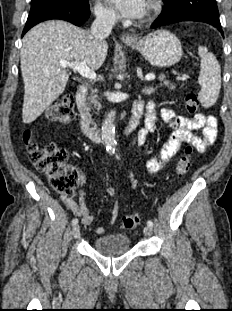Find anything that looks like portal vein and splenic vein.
<instances>
[{
    "label": "portal vein and splenic vein",
    "mask_w": 232,
    "mask_h": 311,
    "mask_svg": "<svg viewBox=\"0 0 232 311\" xmlns=\"http://www.w3.org/2000/svg\"><path fill=\"white\" fill-rule=\"evenodd\" d=\"M60 67L62 68H71L75 71H77L81 76L87 78V79H96V73L91 70L85 62H68V61H60ZM145 79L147 81H151L155 79L154 74H147L145 76Z\"/></svg>",
    "instance_id": "18ae733b"
}]
</instances>
